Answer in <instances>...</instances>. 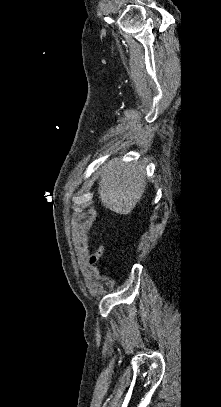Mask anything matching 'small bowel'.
<instances>
[{
	"label": "small bowel",
	"instance_id": "obj_1",
	"mask_svg": "<svg viewBox=\"0 0 221 407\" xmlns=\"http://www.w3.org/2000/svg\"><path fill=\"white\" fill-rule=\"evenodd\" d=\"M104 247L103 245L99 244L96 250L88 256L87 263L89 265L95 264L103 255Z\"/></svg>",
	"mask_w": 221,
	"mask_h": 407
}]
</instances>
